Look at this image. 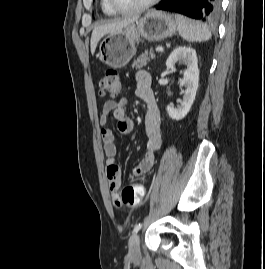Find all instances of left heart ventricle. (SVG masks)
Listing matches in <instances>:
<instances>
[{"label":"left heart ventricle","instance_id":"1","mask_svg":"<svg viewBox=\"0 0 265 269\" xmlns=\"http://www.w3.org/2000/svg\"><path fill=\"white\" fill-rule=\"evenodd\" d=\"M148 0H115L116 4L122 8L138 6Z\"/></svg>","mask_w":265,"mask_h":269}]
</instances>
